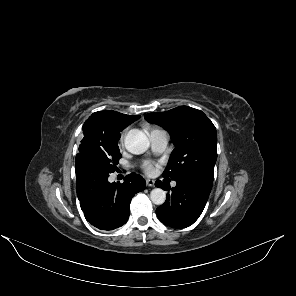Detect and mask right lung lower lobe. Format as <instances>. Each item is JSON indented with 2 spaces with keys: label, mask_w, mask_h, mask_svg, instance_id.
Wrapping results in <instances>:
<instances>
[{
  "label": "right lung lower lobe",
  "mask_w": 296,
  "mask_h": 296,
  "mask_svg": "<svg viewBox=\"0 0 296 296\" xmlns=\"http://www.w3.org/2000/svg\"><path fill=\"white\" fill-rule=\"evenodd\" d=\"M76 190L85 218L100 230H113L129 218L132 197L145 188L138 174L126 176L123 183H109V172L94 157L76 155Z\"/></svg>",
  "instance_id": "1"
}]
</instances>
